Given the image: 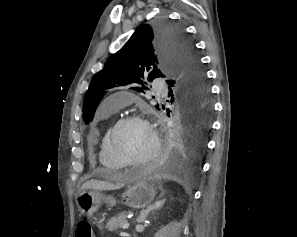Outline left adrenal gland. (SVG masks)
I'll return each mask as SVG.
<instances>
[{
  "instance_id": "left-adrenal-gland-1",
  "label": "left adrenal gland",
  "mask_w": 297,
  "mask_h": 237,
  "mask_svg": "<svg viewBox=\"0 0 297 237\" xmlns=\"http://www.w3.org/2000/svg\"><path fill=\"white\" fill-rule=\"evenodd\" d=\"M165 195V192H161V197ZM166 199H163V200H160V201H157L155 202V204L149 206L146 210H142L141 213H140V216L139 218L137 219V221L139 223H142L146 220L147 216L149 215L150 212L154 211V210H158L160 209L164 203H165Z\"/></svg>"
}]
</instances>
